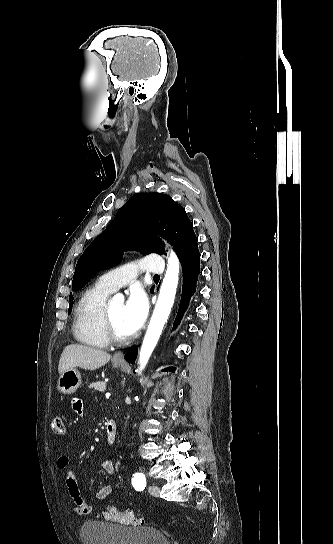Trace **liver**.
Here are the masks:
<instances>
[{
    "mask_svg": "<svg viewBox=\"0 0 333 544\" xmlns=\"http://www.w3.org/2000/svg\"><path fill=\"white\" fill-rule=\"evenodd\" d=\"M110 358V354L100 349L80 344L67 345L61 354L58 372L61 375L64 371L75 367L96 370L108 363Z\"/></svg>",
    "mask_w": 333,
    "mask_h": 544,
    "instance_id": "6515ba94",
    "label": "liver"
}]
</instances>
